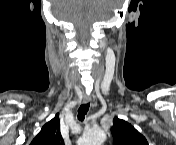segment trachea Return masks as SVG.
Masks as SVG:
<instances>
[{"mask_svg": "<svg viewBox=\"0 0 176 145\" xmlns=\"http://www.w3.org/2000/svg\"><path fill=\"white\" fill-rule=\"evenodd\" d=\"M89 106L90 104L89 103H85V104H82L78 110V119L80 121H83L84 118H85V115L87 114L88 110H89Z\"/></svg>", "mask_w": 176, "mask_h": 145, "instance_id": "trachea-1", "label": "trachea"}]
</instances>
